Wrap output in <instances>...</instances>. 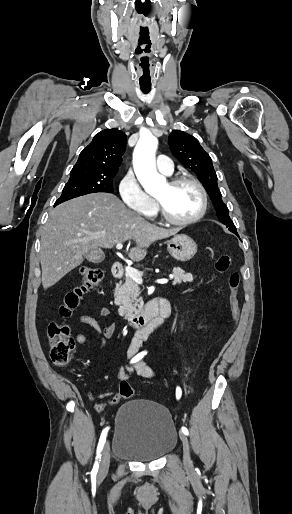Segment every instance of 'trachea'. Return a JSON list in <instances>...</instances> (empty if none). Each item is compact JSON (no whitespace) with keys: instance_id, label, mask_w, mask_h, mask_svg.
<instances>
[{"instance_id":"1","label":"trachea","mask_w":292,"mask_h":514,"mask_svg":"<svg viewBox=\"0 0 292 514\" xmlns=\"http://www.w3.org/2000/svg\"><path fill=\"white\" fill-rule=\"evenodd\" d=\"M149 91H150L149 89H142V92H143L144 94H147Z\"/></svg>"}]
</instances>
